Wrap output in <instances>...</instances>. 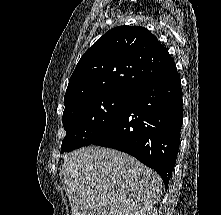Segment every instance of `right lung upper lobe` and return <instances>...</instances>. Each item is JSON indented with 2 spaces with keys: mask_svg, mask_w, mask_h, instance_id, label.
Masks as SVG:
<instances>
[{
  "mask_svg": "<svg viewBox=\"0 0 221 215\" xmlns=\"http://www.w3.org/2000/svg\"><path fill=\"white\" fill-rule=\"evenodd\" d=\"M172 64L167 49L146 28L115 27L79 60L65 93V107L99 95H130Z\"/></svg>",
  "mask_w": 221,
  "mask_h": 215,
  "instance_id": "1",
  "label": "right lung upper lobe"
}]
</instances>
